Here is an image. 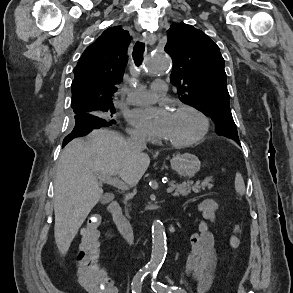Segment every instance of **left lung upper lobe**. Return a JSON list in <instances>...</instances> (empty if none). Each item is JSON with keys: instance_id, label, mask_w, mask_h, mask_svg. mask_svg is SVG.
<instances>
[{"instance_id": "1", "label": "left lung upper lobe", "mask_w": 293, "mask_h": 293, "mask_svg": "<svg viewBox=\"0 0 293 293\" xmlns=\"http://www.w3.org/2000/svg\"><path fill=\"white\" fill-rule=\"evenodd\" d=\"M165 51L173 60L171 83L182 102L204 110L219 135L239 141L226 85L224 59L219 47L201 30L174 23Z\"/></svg>"}]
</instances>
